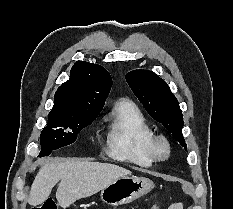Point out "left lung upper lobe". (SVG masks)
Segmentation results:
<instances>
[{"instance_id":"left-lung-upper-lobe-1","label":"left lung upper lobe","mask_w":233,"mask_h":209,"mask_svg":"<svg viewBox=\"0 0 233 209\" xmlns=\"http://www.w3.org/2000/svg\"><path fill=\"white\" fill-rule=\"evenodd\" d=\"M125 77L149 115L169 129L173 137L187 150L182 135V111L166 82L152 71L146 70H134Z\"/></svg>"}]
</instances>
